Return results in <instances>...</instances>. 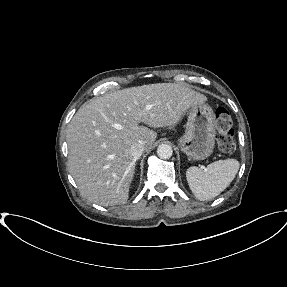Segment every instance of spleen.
<instances>
[{"mask_svg": "<svg viewBox=\"0 0 287 287\" xmlns=\"http://www.w3.org/2000/svg\"><path fill=\"white\" fill-rule=\"evenodd\" d=\"M236 159L218 160L205 169L192 166L186 171L188 185L199 200H210L223 192L233 181L238 170Z\"/></svg>", "mask_w": 287, "mask_h": 287, "instance_id": "obj_1", "label": "spleen"}]
</instances>
